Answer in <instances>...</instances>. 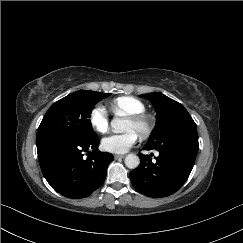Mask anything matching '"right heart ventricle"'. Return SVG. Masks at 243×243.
<instances>
[{"label": "right heart ventricle", "instance_id": "right-heart-ventricle-1", "mask_svg": "<svg viewBox=\"0 0 243 243\" xmlns=\"http://www.w3.org/2000/svg\"><path fill=\"white\" fill-rule=\"evenodd\" d=\"M108 108L115 115H132L145 112L144 103L132 96H120L108 103Z\"/></svg>", "mask_w": 243, "mask_h": 243}]
</instances>
